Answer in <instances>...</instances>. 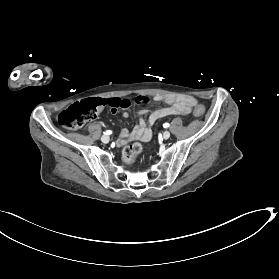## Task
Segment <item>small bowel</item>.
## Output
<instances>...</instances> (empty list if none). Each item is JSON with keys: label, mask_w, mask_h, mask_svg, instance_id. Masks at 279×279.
<instances>
[{"label": "small bowel", "mask_w": 279, "mask_h": 279, "mask_svg": "<svg viewBox=\"0 0 279 279\" xmlns=\"http://www.w3.org/2000/svg\"><path fill=\"white\" fill-rule=\"evenodd\" d=\"M155 100L158 102H164L168 104V106L153 110L149 113L148 121L150 125H153L159 119L167 116L187 115L190 112L192 106L196 103V101L192 97H188V96L175 98L171 96L157 95L155 96ZM146 113H147L146 110H140L138 112L139 123L132 131L128 129H123L120 132L117 139L118 146H123L133 140H141L144 142H148L151 140L152 132L146 126V123L142 118V116ZM123 117L127 118L128 113L124 112Z\"/></svg>", "instance_id": "small-bowel-1"}]
</instances>
